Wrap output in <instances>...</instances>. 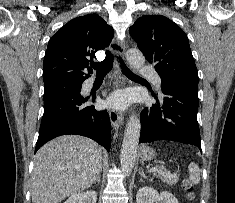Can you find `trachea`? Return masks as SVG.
<instances>
[{"mask_svg":"<svg viewBox=\"0 0 235 203\" xmlns=\"http://www.w3.org/2000/svg\"><path fill=\"white\" fill-rule=\"evenodd\" d=\"M113 59H114L113 54L110 51H107L106 52V58L104 59V61L99 62V63L91 64V66L97 71V76H105L112 69ZM120 66L122 68V72L126 76H128V77H139V76L135 75L134 73H132L127 68V66L124 64L122 59H120Z\"/></svg>","mask_w":235,"mask_h":203,"instance_id":"1","label":"trachea"}]
</instances>
